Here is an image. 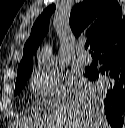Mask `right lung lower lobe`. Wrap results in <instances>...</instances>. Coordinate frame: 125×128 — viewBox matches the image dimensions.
I'll list each match as a JSON object with an SVG mask.
<instances>
[{
    "instance_id": "obj_1",
    "label": "right lung lower lobe",
    "mask_w": 125,
    "mask_h": 128,
    "mask_svg": "<svg viewBox=\"0 0 125 128\" xmlns=\"http://www.w3.org/2000/svg\"><path fill=\"white\" fill-rule=\"evenodd\" d=\"M92 49L99 61L86 67L85 76L92 82L100 77L105 79L99 83L106 95L105 115L113 128H121L125 111V23Z\"/></svg>"
}]
</instances>
